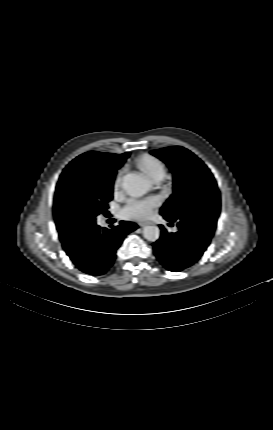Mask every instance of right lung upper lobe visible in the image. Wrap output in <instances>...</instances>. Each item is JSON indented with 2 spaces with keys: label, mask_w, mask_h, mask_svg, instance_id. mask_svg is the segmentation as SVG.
<instances>
[{
  "label": "right lung upper lobe",
  "mask_w": 273,
  "mask_h": 430,
  "mask_svg": "<svg viewBox=\"0 0 273 430\" xmlns=\"http://www.w3.org/2000/svg\"><path fill=\"white\" fill-rule=\"evenodd\" d=\"M128 156L129 152L124 154H111L90 151L78 156L72 161V164L78 165L81 168L93 173L116 174L117 169L123 165ZM69 241L71 240L62 241V243L64 244Z\"/></svg>",
  "instance_id": "obj_1"
}]
</instances>
